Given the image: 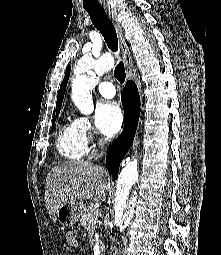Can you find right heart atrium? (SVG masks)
<instances>
[{
  "mask_svg": "<svg viewBox=\"0 0 221 255\" xmlns=\"http://www.w3.org/2000/svg\"><path fill=\"white\" fill-rule=\"evenodd\" d=\"M80 129L85 138H90L93 135V127L90 120L87 117L78 118Z\"/></svg>",
  "mask_w": 221,
  "mask_h": 255,
  "instance_id": "d8ad5b80",
  "label": "right heart atrium"
}]
</instances>
